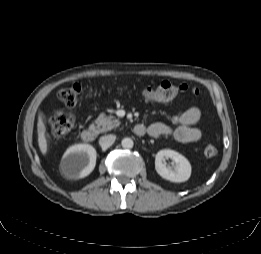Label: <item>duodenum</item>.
Here are the masks:
<instances>
[{"label": "duodenum", "mask_w": 261, "mask_h": 254, "mask_svg": "<svg viewBox=\"0 0 261 254\" xmlns=\"http://www.w3.org/2000/svg\"><path fill=\"white\" fill-rule=\"evenodd\" d=\"M136 129V130H135ZM135 133L138 135L142 134V127H140L139 125L135 126ZM81 138L85 141V142H92L95 140L96 138V133L93 129L91 128H85L82 132H81Z\"/></svg>", "instance_id": "duodenum-1"}]
</instances>
